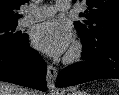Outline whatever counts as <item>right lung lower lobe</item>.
<instances>
[{
    "mask_svg": "<svg viewBox=\"0 0 119 95\" xmlns=\"http://www.w3.org/2000/svg\"><path fill=\"white\" fill-rule=\"evenodd\" d=\"M46 63L29 46L28 35L0 43V81L46 90Z\"/></svg>",
    "mask_w": 119,
    "mask_h": 95,
    "instance_id": "right-lung-lower-lobe-1",
    "label": "right lung lower lobe"
}]
</instances>
